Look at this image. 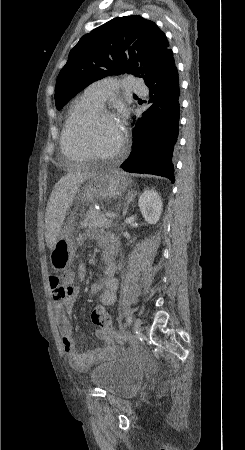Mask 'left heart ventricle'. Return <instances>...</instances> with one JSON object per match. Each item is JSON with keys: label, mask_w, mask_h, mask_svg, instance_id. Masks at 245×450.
<instances>
[{"label": "left heart ventricle", "mask_w": 245, "mask_h": 450, "mask_svg": "<svg viewBox=\"0 0 245 450\" xmlns=\"http://www.w3.org/2000/svg\"><path fill=\"white\" fill-rule=\"evenodd\" d=\"M121 138L122 134L114 120L101 119L94 126L93 144L95 149L101 153L115 151L120 146Z\"/></svg>", "instance_id": "left-heart-ventricle-1"}]
</instances>
